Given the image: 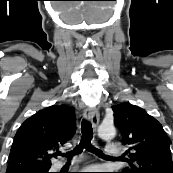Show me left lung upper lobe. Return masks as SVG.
<instances>
[{"label": "left lung upper lobe", "instance_id": "left-lung-upper-lobe-1", "mask_svg": "<svg viewBox=\"0 0 173 173\" xmlns=\"http://www.w3.org/2000/svg\"><path fill=\"white\" fill-rule=\"evenodd\" d=\"M114 123L129 145V166L121 173H173L170 143L162 125L129 102L112 107Z\"/></svg>", "mask_w": 173, "mask_h": 173}]
</instances>
